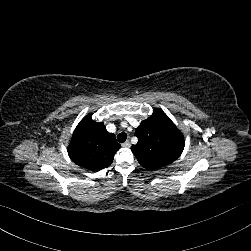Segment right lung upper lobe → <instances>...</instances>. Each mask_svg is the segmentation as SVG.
Returning a JSON list of instances; mask_svg holds the SVG:
<instances>
[{"mask_svg": "<svg viewBox=\"0 0 251 251\" xmlns=\"http://www.w3.org/2000/svg\"><path fill=\"white\" fill-rule=\"evenodd\" d=\"M120 144L102 122H95L91 114L76 127L68 146L69 157L81 168L99 171L111 165Z\"/></svg>", "mask_w": 251, "mask_h": 251, "instance_id": "right-lung-upper-lobe-1", "label": "right lung upper lobe"}]
</instances>
